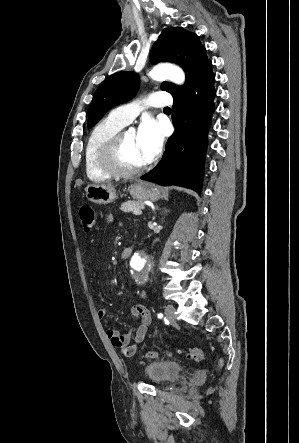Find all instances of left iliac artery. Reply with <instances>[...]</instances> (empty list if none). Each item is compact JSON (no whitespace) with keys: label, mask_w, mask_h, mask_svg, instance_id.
<instances>
[{"label":"left iliac artery","mask_w":299,"mask_h":443,"mask_svg":"<svg viewBox=\"0 0 299 443\" xmlns=\"http://www.w3.org/2000/svg\"><path fill=\"white\" fill-rule=\"evenodd\" d=\"M158 318H160V319L163 318V314H162V313H159V314H158Z\"/></svg>","instance_id":"1"}]
</instances>
